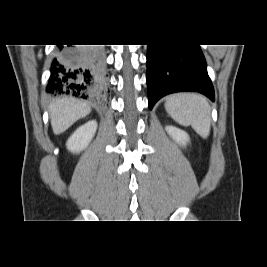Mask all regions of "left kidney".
<instances>
[{
    "label": "left kidney",
    "instance_id": "obj_1",
    "mask_svg": "<svg viewBox=\"0 0 267 267\" xmlns=\"http://www.w3.org/2000/svg\"><path fill=\"white\" fill-rule=\"evenodd\" d=\"M165 129L170 137L180 146H186L190 140L188 134L179 128L174 126H166Z\"/></svg>",
    "mask_w": 267,
    "mask_h": 267
}]
</instances>
